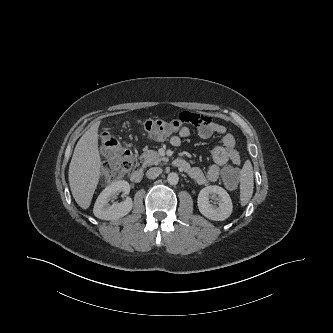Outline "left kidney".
I'll return each instance as SVG.
<instances>
[{
    "label": "left kidney",
    "instance_id": "1",
    "mask_svg": "<svg viewBox=\"0 0 333 333\" xmlns=\"http://www.w3.org/2000/svg\"><path fill=\"white\" fill-rule=\"evenodd\" d=\"M217 196L218 206L209 202V195ZM200 213L213 221H223L227 219L233 210L232 200L225 189L211 185L203 188L197 199Z\"/></svg>",
    "mask_w": 333,
    "mask_h": 333
}]
</instances>
